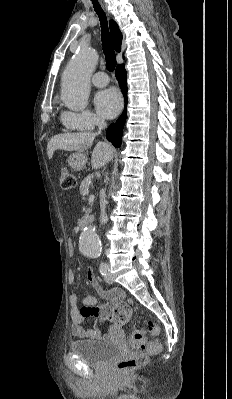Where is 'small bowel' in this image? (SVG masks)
I'll return each mask as SVG.
<instances>
[{
    "label": "small bowel",
    "instance_id": "small-bowel-1",
    "mask_svg": "<svg viewBox=\"0 0 232 399\" xmlns=\"http://www.w3.org/2000/svg\"><path fill=\"white\" fill-rule=\"evenodd\" d=\"M68 249L70 255L74 256L76 247L73 241H68ZM92 283L94 290L98 294H101L110 300L98 303L93 295L89 293L83 298L82 308L78 310L74 308V305L77 301V295L72 293L69 296L70 304L73 307L70 311L72 323L69 330L71 333L80 337L79 342L82 345H97L104 340L110 339L115 332L121 329L123 322L131 318L132 314L131 309L119 301L122 296L121 291L116 289L102 291L98 286V279L96 275L92 276ZM69 284L70 286L76 285V276L72 273L69 275ZM129 301L131 302L132 299L129 298ZM89 316H98L102 320H110L111 324L108 330L106 332H101L98 330L87 329L83 325V322Z\"/></svg>",
    "mask_w": 232,
    "mask_h": 399
}]
</instances>
